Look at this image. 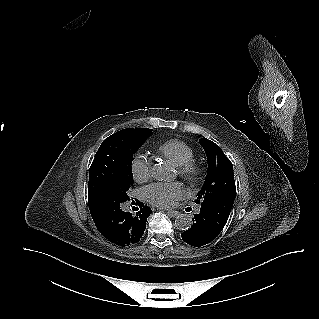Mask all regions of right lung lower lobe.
Masks as SVG:
<instances>
[{
	"label": "right lung lower lobe",
	"instance_id": "98d812e1",
	"mask_svg": "<svg viewBox=\"0 0 319 319\" xmlns=\"http://www.w3.org/2000/svg\"><path fill=\"white\" fill-rule=\"evenodd\" d=\"M112 198L106 195L88 197L89 209L93 221L100 233L119 246H128L139 242L142 237L151 209L143 206L137 199L132 200L139 210L136 214L121 209L124 202L130 201Z\"/></svg>",
	"mask_w": 319,
	"mask_h": 319
}]
</instances>
